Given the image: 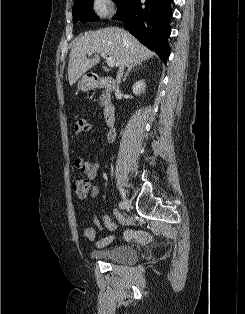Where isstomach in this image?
Wrapping results in <instances>:
<instances>
[{"label":"stomach","mask_w":245,"mask_h":314,"mask_svg":"<svg viewBox=\"0 0 245 314\" xmlns=\"http://www.w3.org/2000/svg\"><path fill=\"white\" fill-rule=\"evenodd\" d=\"M93 87H94L93 80L87 75H84L78 82V89L81 91H89Z\"/></svg>","instance_id":"obj_1"}]
</instances>
